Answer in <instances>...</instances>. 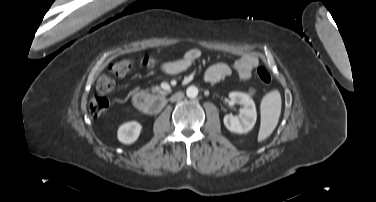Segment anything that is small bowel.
I'll return each mask as SVG.
<instances>
[{
    "label": "small bowel",
    "mask_w": 376,
    "mask_h": 202,
    "mask_svg": "<svg viewBox=\"0 0 376 202\" xmlns=\"http://www.w3.org/2000/svg\"><path fill=\"white\" fill-rule=\"evenodd\" d=\"M202 56L201 50L191 48L185 52L181 59L165 62L160 66L163 73L167 75H177L189 69ZM259 59L253 53H243L235 61L233 69L241 79L247 80L251 77L252 70L258 65ZM232 73V67L225 63L219 62L208 66L203 72V80L208 83H216L228 77Z\"/></svg>",
    "instance_id": "c3829d8e"
}]
</instances>
